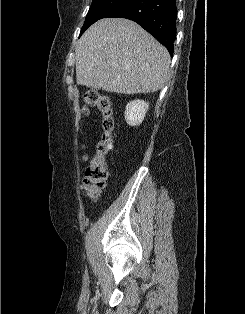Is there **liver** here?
<instances>
[{
	"mask_svg": "<svg viewBox=\"0 0 245 314\" xmlns=\"http://www.w3.org/2000/svg\"><path fill=\"white\" fill-rule=\"evenodd\" d=\"M170 60L167 49L137 23L105 18L77 42L76 82L113 93L155 92L168 80Z\"/></svg>",
	"mask_w": 245,
	"mask_h": 314,
	"instance_id": "liver-1",
	"label": "liver"
}]
</instances>
